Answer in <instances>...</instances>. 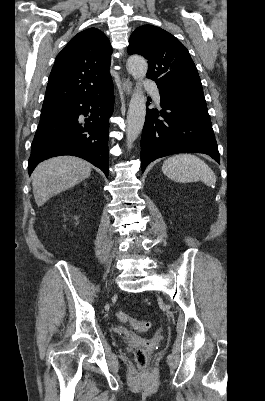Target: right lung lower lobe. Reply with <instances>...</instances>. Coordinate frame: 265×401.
<instances>
[{"label": "right lung lower lobe", "instance_id": "right-lung-lower-lobe-1", "mask_svg": "<svg viewBox=\"0 0 265 401\" xmlns=\"http://www.w3.org/2000/svg\"><path fill=\"white\" fill-rule=\"evenodd\" d=\"M113 105L114 90L110 82L97 93L41 111L28 173L43 160L73 155L89 161L108 177V119ZM80 115L89 117L83 120Z\"/></svg>", "mask_w": 265, "mask_h": 401}]
</instances>
